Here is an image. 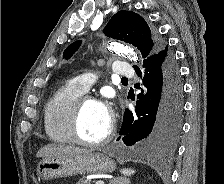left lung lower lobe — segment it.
Wrapping results in <instances>:
<instances>
[{
  "instance_id": "1",
  "label": "left lung lower lobe",
  "mask_w": 224,
  "mask_h": 184,
  "mask_svg": "<svg viewBox=\"0 0 224 184\" xmlns=\"http://www.w3.org/2000/svg\"><path fill=\"white\" fill-rule=\"evenodd\" d=\"M144 67L145 91L137 96L136 113L125 110L119 134L126 146L166 153L173 149L181 130L183 103L179 69L168 47L150 56ZM135 70L141 76V71Z\"/></svg>"
}]
</instances>
